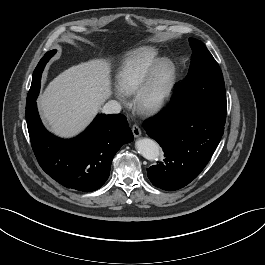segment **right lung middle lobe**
Here are the masks:
<instances>
[{"instance_id":"obj_1","label":"right lung middle lobe","mask_w":265,"mask_h":265,"mask_svg":"<svg viewBox=\"0 0 265 265\" xmlns=\"http://www.w3.org/2000/svg\"><path fill=\"white\" fill-rule=\"evenodd\" d=\"M56 53V50L49 51L45 54V56L40 60L38 63L32 78L31 88L29 90L27 96V103L30 104L36 100L39 90H40V81H41V74L49 59ZM26 103V104H27Z\"/></svg>"}]
</instances>
